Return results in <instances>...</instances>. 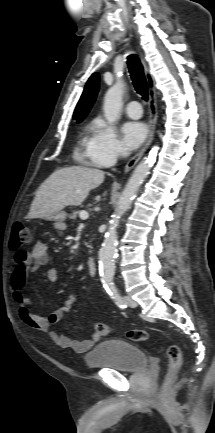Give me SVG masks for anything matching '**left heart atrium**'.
<instances>
[{
	"label": "left heart atrium",
	"instance_id": "1",
	"mask_svg": "<svg viewBox=\"0 0 215 433\" xmlns=\"http://www.w3.org/2000/svg\"><path fill=\"white\" fill-rule=\"evenodd\" d=\"M146 126L142 122L129 121L122 126V139L124 147L131 151L136 149L145 139Z\"/></svg>",
	"mask_w": 215,
	"mask_h": 433
}]
</instances>
